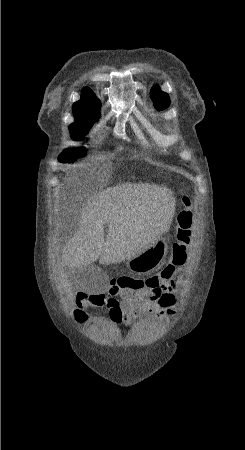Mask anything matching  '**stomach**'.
<instances>
[{"instance_id": "obj_1", "label": "stomach", "mask_w": 245, "mask_h": 450, "mask_svg": "<svg viewBox=\"0 0 245 450\" xmlns=\"http://www.w3.org/2000/svg\"><path fill=\"white\" fill-rule=\"evenodd\" d=\"M168 251L166 238L158 236L156 241L148 245L140 253L126 260L127 267L136 273H149L164 260Z\"/></svg>"}]
</instances>
